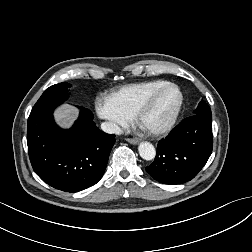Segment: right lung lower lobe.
<instances>
[{
  "label": "right lung lower lobe",
  "instance_id": "1",
  "mask_svg": "<svg viewBox=\"0 0 252 252\" xmlns=\"http://www.w3.org/2000/svg\"><path fill=\"white\" fill-rule=\"evenodd\" d=\"M57 106L29 116V158L35 173L45 183L65 192H78L93 186L103 176L115 135L99 130L92 112L84 107L69 130L61 129L53 119Z\"/></svg>",
  "mask_w": 252,
  "mask_h": 252
}]
</instances>
